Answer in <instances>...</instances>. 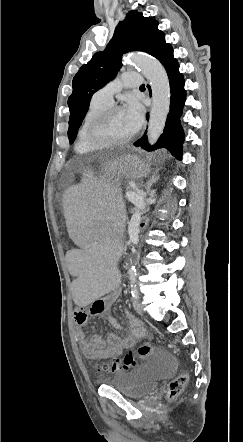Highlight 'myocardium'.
Segmentation results:
<instances>
[{"instance_id":"obj_1","label":"myocardium","mask_w":243,"mask_h":442,"mask_svg":"<svg viewBox=\"0 0 243 442\" xmlns=\"http://www.w3.org/2000/svg\"><path fill=\"white\" fill-rule=\"evenodd\" d=\"M122 110L120 106H110L91 119L86 128V137L88 141L97 148H112L123 146L129 143L134 137L135 132L125 139L116 141H106L100 138L99 130L105 125L113 113Z\"/></svg>"}]
</instances>
